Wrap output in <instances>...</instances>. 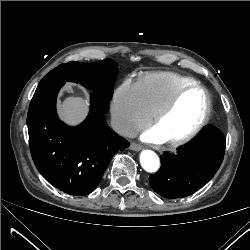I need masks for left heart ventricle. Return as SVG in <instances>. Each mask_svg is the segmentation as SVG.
Masks as SVG:
<instances>
[{
  "label": "left heart ventricle",
  "instance_id": "b2bd125f",
  "mask_svg": "<svg viewBox=\"0 0 250 250\" xmlns=\"http://www.w3.org/2000/svg\"><path fill=\"white\" fill-rule=\"evenodd\" d=\"M205 100L202 91L185 92L173 110L155 127L153 132L162 140H170L190 131L204 113Z\"/></svg>",
  "mask_w": 250,
  "mask_h": 250
}]
</instances>
